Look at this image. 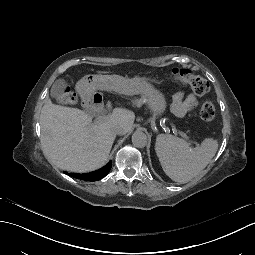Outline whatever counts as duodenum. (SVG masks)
<instances>
[{
    "instance_id": "1",
    "label": "duodenum",
    "mask_w": 255,
    "mask_h": 255,
    "mask_svg": "<svg viewBox=\"0 0 255 255\" xmlns=\"http://www.w3.org/2000/svg\"><path fill=\"white\" fill-rule=\"evenodd\" d=\"M85 109L96 116H101L105 112L102 96L93 89L90 83H82L78 88Z\"/></svg>"
}]
</instances>
